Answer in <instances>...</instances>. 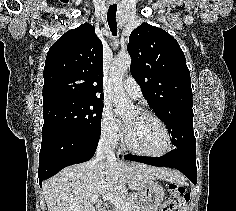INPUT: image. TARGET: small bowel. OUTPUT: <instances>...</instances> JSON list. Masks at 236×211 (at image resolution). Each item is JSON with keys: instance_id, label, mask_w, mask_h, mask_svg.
<instances>
[{"instance_id": "small-bowel-1", "label": "small bowel", "mask_w": 236, "mask_h": 211, "mask_svg": "<svg viewBox=\"0 0 236 211\" xmlns=\"http://www.w3.org/2000/svg\"><path fill=\"white\" fill-rule=\"evenodd\" d=\"M180 211H187L186 206H185V205H182Z\"/></svg>"}]
</instances>
